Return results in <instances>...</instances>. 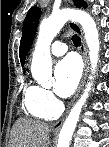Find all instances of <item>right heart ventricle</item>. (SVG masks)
Returning <instances> with one entry per match:
<instances>
[{"label": "right heart ventricle", "mask_w": 109, "mask_h": 147, "mask_svg": "<svg viewBox=\"0 0 109 147\" xmlns=\"http://www.w3.org/2000/svg\"><path fill=\"white\" fill-rule=\"evenodd\" d=\"M38 87L35 85L29 84L26 87L24 93V103L28 113L38 119H46L51 120L58 115L59 108L55 111H51L43 107L37 100H36V93Z\"/></svg>", "instance_id": "1"}]
</instances>
